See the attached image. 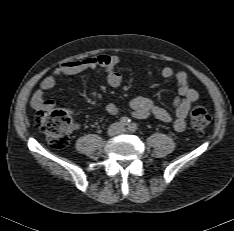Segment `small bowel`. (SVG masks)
<instances>
[{
	"label": "small bowel",
	"instance_id": "c3829d8e",
	"mask_svg": "<svg viewBox=\"0 0 234 231\" xmlns=\"http://www.w3.org/2000/svg\"><path fill=\"white\" fill-rule=\"evenodd\" d=\"M119 64V58L116 55L102 54L93 57H87L77 61L66 62L57 67L50 75L46 76L40 83L39 88L33 93L31 105L36 110H51L55 103L52 99L46 98L45 93L56 85L59 78L64 76L76 75L88 70L101 68L106 76L107 83L112 87H118L123 81V75L116 67ZM161 77L169 79L174 76L171 67L165 66L158 69ZM178 95L173 101L175 118L172 119L170 113L156 105L151 99L146 97H135L129 103V112L132 117L145 120L150 116L164 123H173V128L177 132H182L186 128V118L192 107L199 98L198 92L193 89L188 80V75L184 71L175 74ZM106 113L117 115L121 108L116 104L109 103L105 106ZM76 129L77 126H74Z\"/></svg>",
	"mask_w": 234,
	"mask_h": 231
}]
</instances>
